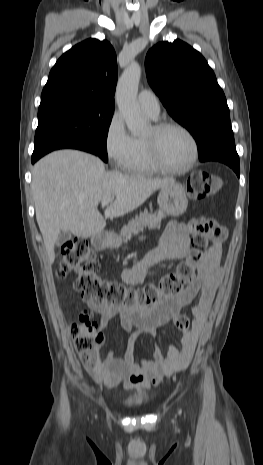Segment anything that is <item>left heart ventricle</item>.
<instances>
[{"label": "left heart ventricle", "mask_w": 263, "mask_h": 465, "mask_svg": "<svg viewBox=\"0 0 263 465\" xmlns=\"http://www.w3.org/2000/svg\"><path fill=\"white\" fill-rule=\"evenodd\" d=\"M151 128L145 133L148 136ZM159 151L165 163L174 167L185 166L193 154V146L185 133L178 129H167L158 138Z\"/></svg>", "instance_id": "obj_1"}]
</instances>
